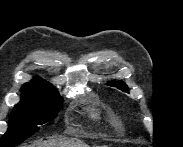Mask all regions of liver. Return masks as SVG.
Masks as SVG:
<instances>
[{
	"mask_svg": "<svg viewBox=\"0 0 183 147\" xmlns=\"http://www.w3.org/2000/svg\"><path fill=\"white\" fill-rule=\"evenodd\" d=\"M30 147H89L83 141L72 139H54L50 141L36 142Z\"/></svg>",
	"mask_w": 183,
	"mask_h": 147,
	"instance_id": "liver-1",
	"label": "liver"
}]
</instances>
